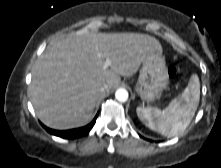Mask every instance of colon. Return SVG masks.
Here are the masks:
<instances>
[{
  "mask_svg": "<svg viewBox=\"0 0 221 168\" xmlns=\"http://www.w3.org/2000/svg\"><path fill=\"white\" fill-rule=\"evenodd\" d=\"M178 73V68L174 65L168 67V75L170 78H174Z\"/></svg>",
  "mask_w": 221,
  "mask_h": 168,
  "instance_id": "obj_1",
  "label": "colon"
}]
</instances>
